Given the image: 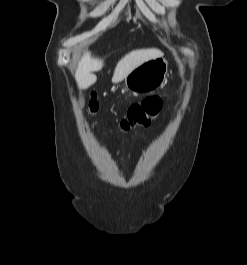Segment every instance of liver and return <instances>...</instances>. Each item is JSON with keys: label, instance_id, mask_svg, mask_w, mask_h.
Listing matches in <instances>:
<instances>
[{"label": "liver", "instance_id": "obj_1", "mask_svg": "<svg viewBox=\"0 0 247 265\" xmlns=\"http://www.w3.org/2000/svg\"><path fill=\"white\" fill-rule=\"evenodd\" d=\"M163 57V52L159 49H138L126 54L116 65L112 77L113 83H119L125 79L136 67L146 61ZM103 60L94 58L89 51L84 52L75 71V79L78 86L82 89L89 88L96 81L94 72L103 67Z\"/></svg>", "mask_w": 247, "mask_h": 265}]
</instances>
